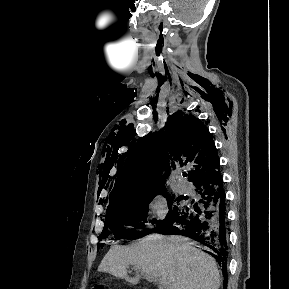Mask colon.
<instances>
[{"mask_svg":"<svg viewBox=\"0 0 289 289\" xmlns=\"http://www.w3.org/2000/svg\"><path fill=\"white\" fill-rule=\"evenodd\" d=\"M92 289H106V287L102 284H96Z\"/></svg>","mask_w":289,"mask_h":289,"instance_id":"5ec220e1","label":"colon"}]
</instances>
